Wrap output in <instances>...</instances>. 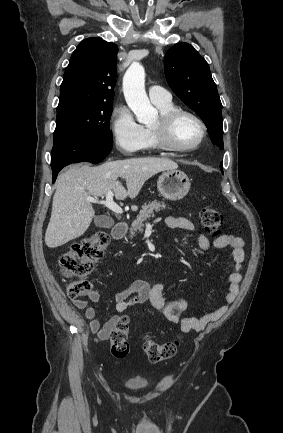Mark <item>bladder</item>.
<instances>
[{"instance_id":"31cf9c89","label":"bladder","mask_w":283,"mask_h":433,"mask_svg":"<svg viewBox=\"0 0 283 433\" xmlns=\"http://www.w3.org/2000/svg\"><path fill=\"white\" fill-rule=\"evenodd\" d=\"M123 385L128 386L132 389H141L147 385V382L145 379L142 378H130L123 381Z\"/></svg>"}]
</instances>
